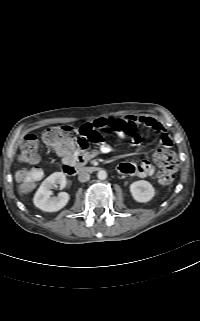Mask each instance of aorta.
<instances>
[{"label":"aorta","instance_id":"aorta-1","mask_svg":"<svg viewBox=\"0 0 200 321\" xmlns=\"http://www.w3.org/2000/svg\"><path fill=\"white\" fill-rule=\"evenodd\" d=\"M97 177L98 179L100 180H105L107 178V172L105 170H100L98 173H97Z\"/></svg>","mask_w":200,"mask_h":321}]
</instances>
